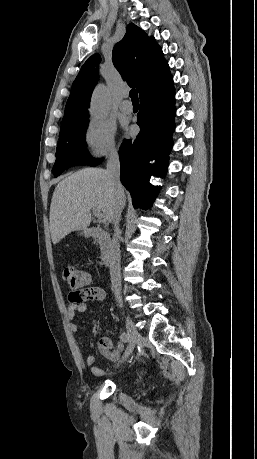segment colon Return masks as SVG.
Instances as JSON below:
<instances>
[{
	"mask_svg": "<svg viewBox=\"0 0 257 459\" xmlns=\"http://www.w3.org/2000/svg\"><path fill=\"white\" fill-rule=\"evenodd\" d=\"M63 278L71 288L77 291L75 301H83L89 297L90 294L86 285L90 281V275L87 272L68 266L63 271Z\"/></svg>",
	"mask_w": 257,
	"mask_h": 459,
	"instance_id": "colon-1",
	"label": "colon"
}]
</instances>
